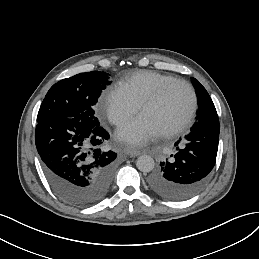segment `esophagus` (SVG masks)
Listing matches in <instances>:
<instances>
[{
  "mask_svg": "<svg viewBox=\"0 0 259 259\" xmlns=\"http://www.w3.org/2000/svg\"><path fill=\"white\" fill-rule=\"evenodd\" d=\"M126 153L129 155V156H138L140 155V152L138 150H135L131 147H127L126 148Z\"/></svg>",
  "mask_w": 259,
  "mask_h": 259,
  "instance_id": "1",
  "label": "esophagus"
}]
</instances>
